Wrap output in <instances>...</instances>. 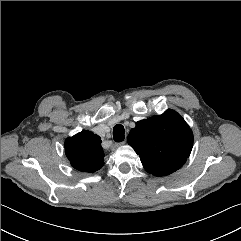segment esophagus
I'll return each mask as SVG.
<instances>
[{
  "instance_id": "esophagus-1",
  "label": "esophagus",
  "mask_w": 241,
  "mask_h": 241,
  "mask_svg": "<svg viewBox=\"0 0 241 241\" xmlns=\"http://www.w3.org/2000/svg\"><path fill=\"white\" fill-rule=\"evenodd\" d=\"M124 143H125V141L120 142V143H114V144H112L111 148H112V150H115L119 145H122Z\"/></svg>"
}]
</instances>
